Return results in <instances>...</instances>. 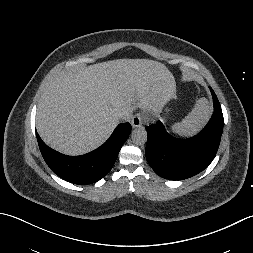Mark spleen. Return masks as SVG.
<instances>
[{
    "mask_svg": "<svg viewBox=\"0 0 253 253\" xmlns=\"http://www.w3.org/2000/svg\"><path fill=\"white\" fill-rule=\"evenodd\" d=\"M212 110L207 99H199L192 111L179 123H175L171 130L181 137L195 135L210 119Z\"/></svg>",
    "mask_w": 253,
    "mask_h": 253,
    "instance_id": "1",
    "label": "spleen"
}]
</instances>
